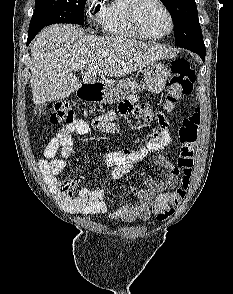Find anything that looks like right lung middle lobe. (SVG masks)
<instances>
[{"instance_id":"dd1d6c3e","label":"right lung middle lobe","mask_w":233,"mask_h":294,"mask_svg":"<svg viewBox=\"0 0 233 294\" xmlns=\"http://www.w3.org/2000/svg\"><path fill=\"white\" fill-rule=\"evenodd\" d=\"M86 0H36L29 25V36L55 23L84 24Z\"/></svg>"}]
</instances>
